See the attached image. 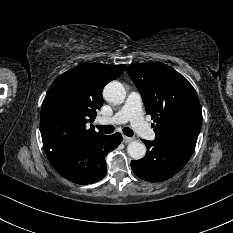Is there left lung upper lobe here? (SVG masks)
I'll use <instances>...</instances> for the list:
<instances>
[{
	"label": "left lung upper lobe",
	"instance_id": "left-lung-upper-lobe-1",
	"mask_svg": "<svg viewBox=\"0 0 233 233\" xmlns=\"http://www.w3.org/2000/svg\"><path fill=\"white\" fill-rule=\"evenodd\" d=\"M126 71L140 91L147 114L154 119L155 140L196 145L202 111L189 81L161 63L129 65Z\"/></svg>",
	"mask_w": 233,
	"mask_h": 233
}]
</instances>
